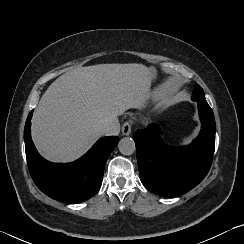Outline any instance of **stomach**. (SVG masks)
Listing matches in <instances>:
<instances>
[{"label": "stomach", "instance_id": "1", "mask_svg": "<svg viewBox=\"0 0 244 244\" xmlns=\"http://www.w3.org/2000/svg\"><path fill=\"white\" fill-rule=\"evenodd\" d=\"M158 71L155 66H150L145 75V82L147 89L154 83L157 79Z\"/></svg>", "mask_w": 244, "mask_h": 244}]
</instances>
